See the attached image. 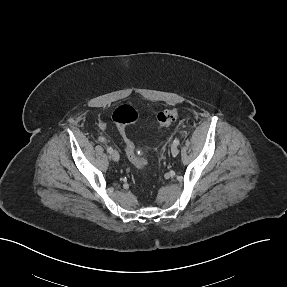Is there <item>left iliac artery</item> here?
<instances>
[{
	"mask_svg": "<svg viewBox=\"0 0 287 287\" xmlns=\"http://www.w3.org/2000/svg\"><path fill=\"white\" fill-rule=\"evenodd\" d=\"M173 143L178 146L180 142H179V140L176 138V139L173 141Z\"/></svg>",
	"mask_w": 287,
	"mask_h": 287,
	"instance_id": "44dca946",
	"label": "left iliac artery"
}]
</instances>
